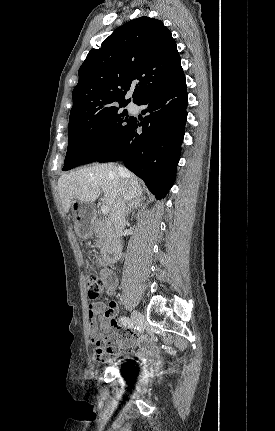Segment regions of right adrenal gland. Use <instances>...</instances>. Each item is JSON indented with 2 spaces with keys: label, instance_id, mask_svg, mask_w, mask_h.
<instances>
[{
  "label": "right adrenal gland",
  "instance_id": "1",
  "mask_svg": "<svg viewBox=\"0 0 275 431\" xmlns=\"http://www.w3.org/2000/svg\"><path fill=\"white\" fill-rule=\"evenodd\" d=\"M142 201H143V198H140V197L132 199L128 203L127 210H126V215H128L133 208H136L137 206H141L142 205Z\"/></svg>",
  "mask_w": 275,
  "mask_h": 431
}]
</instances>
